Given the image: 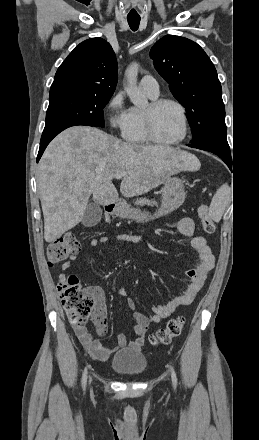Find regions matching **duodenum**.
<instances>
[{"label": "duodenum", "mask_w": 259, "mask_h": 440, "mask_svg": "<svg viewBox=\"0 0 259 440\" xmlns=\"http://www.w3.org/2000/svg\"><path fill=\"white\" fill-rule=\"evenodd\" d=\"M118 206H119V201L118 200L110 201L105 206L106 214H108V215L113 214L116 211V209L118 208Z\"/></svg>", "instance_id": "410a0bca"}]
</instances>
